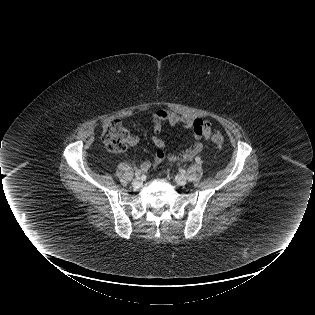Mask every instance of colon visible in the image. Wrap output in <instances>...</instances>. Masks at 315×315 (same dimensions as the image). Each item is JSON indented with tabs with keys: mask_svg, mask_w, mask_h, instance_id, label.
Instances as JSON below:
<instances>
[{
	"mask_svg": "<svg viewBox=\"0 0 315 315\" xmlns=\"http://www.w3.org/2000/svg\"><path fill=\"white\" fill-rule=\"evenodd\" d=\"M128 139V130L118 120H112L102 128V140L108 150L113 153L124 152L128 146ZM210 139L217 146L223 145L225 141L224 136L218 132L213 133Z\"/></svg>",
	"mask_w": 315,
	"mask_h": 315,
	"instance_id": "obj_1",
	"label": "colon"
}]
</instances>
